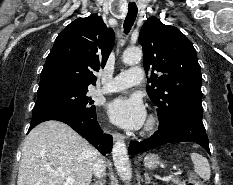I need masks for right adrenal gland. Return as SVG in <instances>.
<instances>
[{"mask_svg": "<svg viewBox=\"0 0 233 185\" xmlns=\"http://www.w3.org/2000/svg\"><path fill=\"white\" fill-rule=\"evenodd\" d=\"M92 185H104V180H99V181H96L94 184Z\"/></svg>", "mask_w": 233, "mask_h": 185, "instance_id": "obj_1", "label": "right adrenal gland"}]
</instances>
